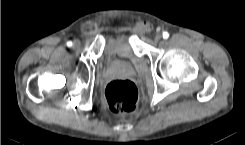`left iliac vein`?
<instances>
[{
	"mask_svg": "<svg viewBox=\"0 0 245 145\" xmlns=\"http://www.w3.org/2000/svg\"><path fill=\"white\" fill-rule=\"evenodd\" d=\"M162 36L160 34L155 35L154 41L159 42L161 40Z\"/></svg>",
	"mask_w": 245,
	"mask_h": 145,
	"instance_id": "left-iliac-vein-1",
	"label": "left iliac vein"
}]
</instances>
